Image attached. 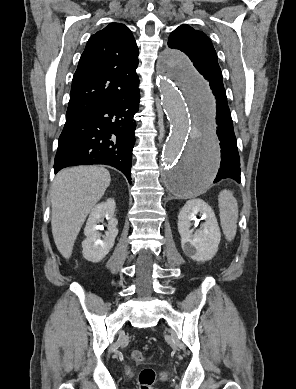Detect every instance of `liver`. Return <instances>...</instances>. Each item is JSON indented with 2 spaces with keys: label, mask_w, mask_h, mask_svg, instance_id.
Here are the masks:
<instances>
[{
  "label": "liver",
  "mask_w": 296,
  "mask_h": 389,
  "mask_svg": "<svg viewBox=\"0 0 296 389\" xmlns=\"http://www.w3.org/2000/svg\"><path fill=\"white\" fill-rule=\"evenodd\" d=\"M111 177L100 166H78L59 172L51 189V227L57 249L71 257L74 242L89 212L102 198Z\"/></svg>",
  "instance_id": "6515ba94"
}]
</instances>
